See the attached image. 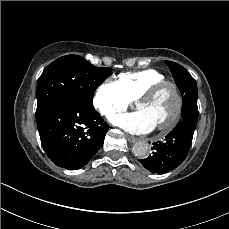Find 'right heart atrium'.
<instances>
[{"mask_svg": "<svg viewBox=\"0 0 229 229\" xmlns=\"http://www.w3.org/2000/svg\"><path fill=\"white\" fill-rule=\"evenodd\" d=\"M92 102L94 108L108 119L126 110L132 103L117 82L108 80L97 87Z\"/></svg>", "mask_w": 229, "mask_h": 229, "instance_id": "obj_1", "label": "right heart atrium"}]
</instances>
